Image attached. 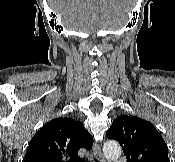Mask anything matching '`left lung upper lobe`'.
Masks as SVG:
<instances>
[{
	"instance_id": "1",
	"label": "left lung upper lobe",
	"mask_w": 175,
	"mask_h": 162,
	"mask_svg": "<svg viewBox=\"0 0 175 162\" xmlns=\"http://www.w3.org/2000/svg\"><path fill=\"white\" fill-rule=\"evenodd\" d=\"M106 135L121 144L127 162H169L167 145L154 125L146 120L122 115Z\"/></svg>"
}]
</instances>
